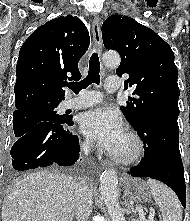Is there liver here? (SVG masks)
<instances>
[{
	"mask_svg": "<svg viewBox=\"0 0 190 221\" xmlns=\"http://www.w3.org/2000/svg\"><path fill=\"white\" fill-rule=\"evenodd\" d=\"M77 181L42 170L17 180L2 205V221H72Z\"/></svg>",
	"mask_w": 190,
	"mask_h": 221,
	"instance_id": "obj_1",
	"label": "liver"
}]
</instances>
